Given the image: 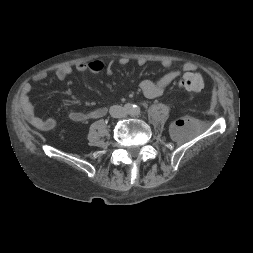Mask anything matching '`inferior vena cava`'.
Instances as JSON below:
<instances>
[{
    "instance_id": "602c4592",
    "label": "inferior vena cava",
    "mask_w": 253,
    "mask_h": 253,
    "mask_svg": "<svg viewBox=\"0 0 253 253\" xmlns=\"http://www.w3.org/2000/svg\"><path fill=\"white\" fill-rule=\"evenodd\" d=\"M110 114L111 116L116 118L123 117L125 114V110L120 105H113L110 107Z\"/></svg>"
}]
</instances>
